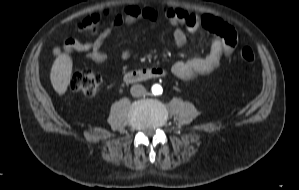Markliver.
Masks as SVG:
<instances>
[{"mask_svg":"<svg viewBox=\"0 0 299 190\" xmlns=\"http://www.w3.org/2000/svg\"><path fill=\"white\" fill-rule=\"evenodd\" d=\"M72 59L67 54L59 55L54 61L50 80L54 90L62 95L66 92L72 74Z\"/></svg>","mask_w":299,"mask_h":190,"instance_id":"obj_1","label":"liver"}]
</instances>
